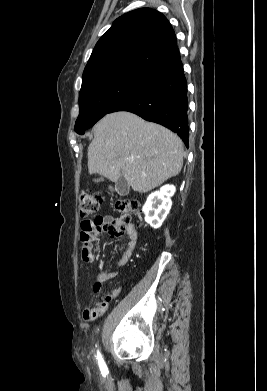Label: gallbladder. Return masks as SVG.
<instances>
[{
    "label": "gallbladder",
    "instance_id": "bac80fb5",
    "mask_svg": "<svg viewBox=\"0 0 267 391\" xmlns=\"http://www.w3.org/2000/svg\"><path fill=\"white\" fill-rule=\"evenodd\" d=\"M115 189L120 196H126L129 193L128 183L123 176H120L116 182Z\"/></svg>",
    "mask_w": 267,
    "mask_h": 391
}]
</instances>
